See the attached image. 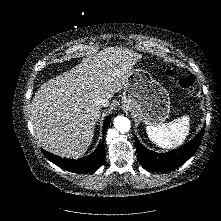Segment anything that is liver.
<instances>
[{"label":"liver","instance_id":"obj_1","mask_svg":"<svg viewBox=\"0 0 221 221\" xmlns=\"http://www.w3.org/2000/svg\"><path fill=\"white\" fill-rule=\"evenodd\" d=\"M141 58L128 49L106 47L42 84L29 112L38 142L61 157L84 155L101 114L96 100L104 98L109 106V99L123 88Z\"/></svg>","mask_w":221,"mask_h":221}]
</instances>
